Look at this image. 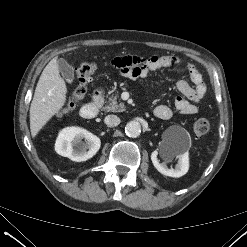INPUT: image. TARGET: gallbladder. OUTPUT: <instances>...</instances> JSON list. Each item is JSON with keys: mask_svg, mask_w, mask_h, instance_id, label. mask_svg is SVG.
<instances>
[{"mask_svg": "<svg viewBox=\"0 0 247 247\" xmlns=\"http://www.w3.org/2000/svg\"><path fill=\"white\" fill-rule=\"evenodd\" d=\"M59 71L67 82H72L74 79L73 67L63 58L57 59Z\"/></svg>", "mask_w": 247, "mask_h": 247, "instance_id": "bac80fb5", "label": "gallbladder"}]
</instances>
